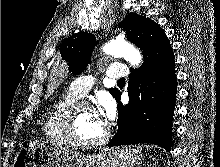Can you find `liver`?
Wrapping results in <instances>:
<instances>
[{"label":"liver","instance_id":"obj_1","mask_svg":"<svg viewBox=\"0 0 220 167\" xmlns=\"http://www.w3.org/2000/svg\"><path fill=\"white\" fill-rule=\"evenodd\" d=\"M34 142H41V141H34ZM42 143H46V142L42 141Z\"/></svg>","mask_w":220,"mask_h":167}]
</instances>
